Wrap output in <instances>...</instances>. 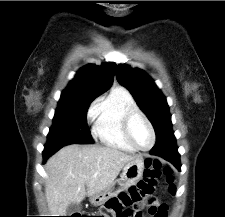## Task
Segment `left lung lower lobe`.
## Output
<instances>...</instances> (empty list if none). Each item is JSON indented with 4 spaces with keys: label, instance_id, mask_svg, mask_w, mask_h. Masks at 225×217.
<instances>
[{
    "label": "left lung lower lobe",
    "instance_id": "0a47b994",
    "mask_svg": "<svg viewBox=\"0 0 225 217\" xmlns=\"http://www.w3.org/2000/svg\"><path fill=\"white\" fill-rule=\"evenodd\" d=\"M150 154L162 157L163 159L171 162L179 170L181 168L180 155L177 149H173V150L165 151V152H156V153L150 152Z\"/></svg>",
    "mask_w": 225,
    "mask_h": 217
}]
</instances>
